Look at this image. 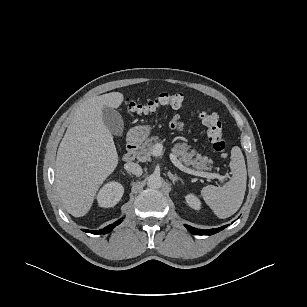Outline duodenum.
Instances as JSON below:
<instances>
[{
  "mask_svg": "<svg viewBox=\"0 0 307 307\" xmlns=\"http://www.w3.org/2000/svg\"><path fill=\"white\" fill-rule=\"evenodd\" d=\"M139 141H140V136L137 133L131 134L129 136L127 140V150L123 155V160L125 162L134 161L138 150Z\"/></svg>",
  "mask_w": 307,
  "mask_h": 307,
  "instance_id": "1",
  "label": "duodenum"
}]
</instances>
